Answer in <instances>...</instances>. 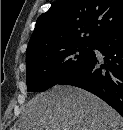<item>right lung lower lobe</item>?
Wrapping results in <instances>:
<instances>
[{
  "mask_svg": "<svg viewBox=\"0 0 123 130\" xmlns=\"http://www.w3.org/2000/svg\"><path fill=\"white\" fill-rule=\"evenodd\" d=\"M103 61L94 52L59 84L85 89L123 116V25L102 36L95 44Z\"/></svg>",
  "mask_w": 123,
  "mask_h": 130,
  "instance_id": "98d812e1",
  "label": "right lung lower lobe"
}]
</instances>
